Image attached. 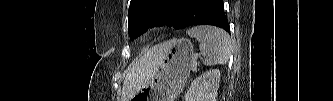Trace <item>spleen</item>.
Masks as SVG:
<instances>
[{"label": "spleen", "mask_w": 333, "mask_h": 101, "mask_svg": "<svg viewBox=\"0 0 333 101\" xmlns=\"http://www.w3.org/2000/svg\"><path fill=\"white\" fill-rule=\"evenodd\" d=\"M187 34L199 42V49L206 66L225 64L232 51L230 36L222 29L212 26H197Z\"/></svg>", "instance_id": "1"}]
</instances>
